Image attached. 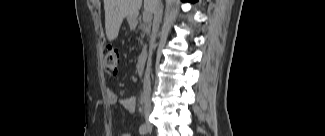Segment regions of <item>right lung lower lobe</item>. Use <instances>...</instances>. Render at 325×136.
<instances>
[{"instance_id":"1","label":"right lung lower lobe","mask_w":325,"mask_h":136,"mask_svg":"<svg viewBox=\"0 0 325 136\" xmlns=\"http://www.w3.org/2000/svg\"><path fill=\"white\" fill-rule=\"evenodd\" d=\"M190 2H196L197 0H189Z\"/></svg>"}]
</instances>
